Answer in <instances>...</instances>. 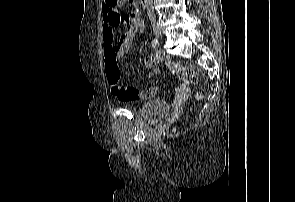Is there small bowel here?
Returning <instances> with one entry per match:
<instances>
[{"label":"small bowel","mask_w":295,"mask_h":202,"mask_svg":"<svg viewBox=\"0 0 295 202\" xmlns=\"http://www.w3.org/2000/svg\"><path fill=\"white\" fill-rule=\"evenodd\" d=\"M128 15L130 18V29L125 32L118 41L114 39L115 28L120 26V17L107 10V4L103 3V48L104 65L107 80L111 92L120 100H146L153 98L158 92V84L155 82L149 89H138L135 85L121 86L120 71L118 67L119 59L129 50L135 36L143 29V21L137 10H133ZM165 58V54L158 49L151 51L144 59L145 66H152ZM177 98L172 102V107H182L185 98H188L189 89L185 81H180L177 89Z\"/></svg>","instance_id":"1"}]
</instances>
